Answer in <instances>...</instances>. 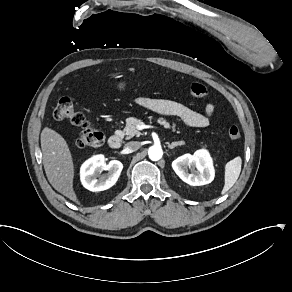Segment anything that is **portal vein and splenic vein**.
I'll return each instance as SVG.
<instances>
[{"instance_id": "1", "label": "portal vein and splenic vein", "mask_w": 292, "mask_h": 292, "mask_svg": "<svg viewBox=\"0 0 292 292\" xmlns=\"http://www.w3.org/2000/svg\"><path fill=\"white\" fill-rule=\"evenodd\" d=\"M150 126H148V125H145V124H141V125H138L137 126V128L139 129V130H142V129H144V128H149Z\"/></svg>"}]
</instances>
